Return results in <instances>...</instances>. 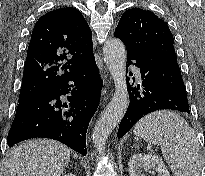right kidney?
<instances>
[{
  "label": "right kidney",
  "mask_w": 205,
  "mask_h": 176,
  "mask_svg": "<svg viewBox=\"0 0 205 176\" xmlns=\"http://www.w3.org/2000/svg\"><path fill=\"white\" fill-rule=\"evenodd\" d=\"M63 176H76V175H74V174H72V173H68V174L63 175Z\"/></svg>",
  "instance_id": "obj_1"
}]
</instances>
